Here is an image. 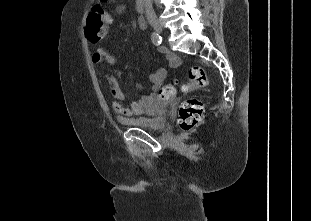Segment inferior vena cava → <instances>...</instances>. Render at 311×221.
Masks as SVG:
<instances>
[{
  "instance_id": "602c4592",
  "label": "inferior vena cava",
  "mask_w": 311,
  "mask_h": 221,
  "mask_svg": "<svg viewBox=\"0 0 311 221\" xmlns=\"http://www.w3.org/2000/svg\"><path fill=\"white\" fill-rule=\"evenodd\" d=\"M144 4L147 16H149V14H153V16H155V10L152 6V0H144Z\"/></svg>"
}]
</instances>
